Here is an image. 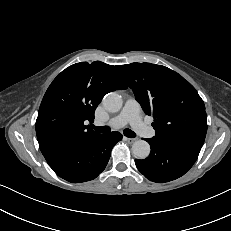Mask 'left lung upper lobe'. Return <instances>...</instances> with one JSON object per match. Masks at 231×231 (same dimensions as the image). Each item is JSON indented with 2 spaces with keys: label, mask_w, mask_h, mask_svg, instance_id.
<instances>
[{
  "label": "left lung upper lobe",
  "mask_w": 231,
  "mask_h": 231,
  "mask_svg": "<svg viewBox=\"0 0 231 231\" xmlns=\"http://www.w3.org/2000/svg\"><path fill=\"white\" fill-rule=\"evenodd\" d=\"M120 69L145 114L153 116L155 138L204 143L205 105L188 81L165 66L151 63H131Z\"/></svg>",
  "instance_id": "left-lung-upper-lobe-1"
}]
</instances>
